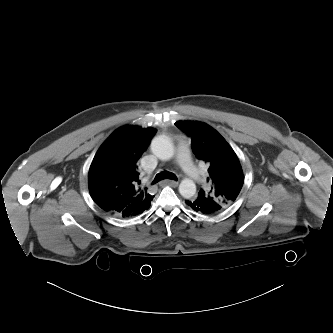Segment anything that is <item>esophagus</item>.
<instances>
[{
  "label": "esophagus",
  "instance_id": "1",
  "mask_svg": "<svg viewBox=\"0 0 333 333\" xmlns=\"http://www.w3.org/2000/svg\"><path fill=\"white\" fill-rule=\"evenodd\" d=\"M161 184H166V185H169V186H173V187H176L178 185V182L177 181H174V180H164L163 182H161Z\"/></svg>",
  "mask_w": 333,
  "mask_h": 333
}]
</instances>
